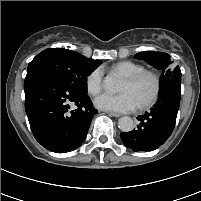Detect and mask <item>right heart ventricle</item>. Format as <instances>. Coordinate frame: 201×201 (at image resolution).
I'll return each instance as SVG.
<instances>
[{
	"mask_svg": "<svg viewBox=\"0 0 201 201\" xmlns=\"http://www.w3.org/2000/svg\"><path fill=\"white\" fill-rule=\"evenodd\" d=\"M111 70L123 77H127L145 70V67L133 61H120L112 65Z\"/></svg>",
	"mask_w": 201,
	"mask_h": 201,
	"instance_id": "1",
	"label": "right heart ventricle"
}]
</instances>
